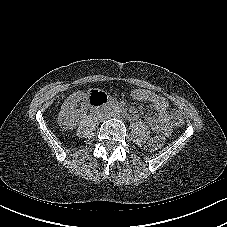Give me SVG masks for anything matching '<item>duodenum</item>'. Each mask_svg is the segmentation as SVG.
<instances>
[{"mask_svg": "<svg viewBox=\"0 0 227 227\" xmlns=\"http://www.w3.org/2000/svg\"><path fill=\"white\" fill-rule=\"evenodd\" d=\"M108 102L109 101H108V99L105 95L95 97V98L90 100V103H91L93 108H98L102 105H105ZM122 115L125 116L128 119H131V120H135L137 118V116L135 114L130 113V112H126V111H122Z\"/></svg>", "mask_w": 227, "mask_h": 227, "instance_id": "1", "label": "duodenum"}]
</instances>
